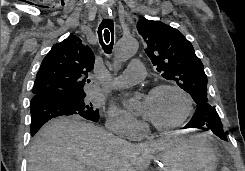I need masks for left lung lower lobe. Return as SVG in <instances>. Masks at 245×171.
I'll use <instances>...</instances> for the list:
<instances>
[{
  "mask_svg": "<svg viewBox=\"0 0 245 171\" xmlns=\"http://www.w3.org/2000/svg\"><path fill=\"white\" fill-rule=\"evenodd\" d=\"M184 128L211 130L215 135L227 141L220 117L215 108L209 104L199 106L190 122Z\"/></svg>",
  "mask_w": 245,
  "mask_h": 171,
  "instance_id": "0a47b994",
  "label": "left lung lower lobe"
}]
</instances>
